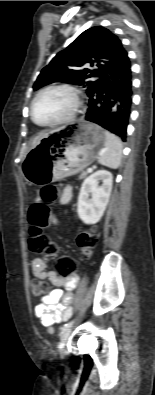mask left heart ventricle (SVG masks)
<instances>
[{
    "instance_id": "b2bd125f",
    "label": "left heart ventricle",
    "mask_w": 155,
    "mask_h": 395,
    "mask_svg": "<svg viewBox=\"0 0 155 395\" xmlns=\"http://www.w3.org/2000/svg\"><path fill=\"white\" fill-rule=\"evenodd\" d=\"M73 104L71 95L62 90L49 91L35 103L34 118L38 123L54 122L68 113Z\"/></svg>"
}]
</instances>
